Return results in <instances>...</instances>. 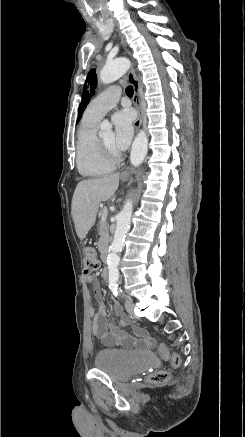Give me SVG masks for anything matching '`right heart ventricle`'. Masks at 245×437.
<instances>
[{
	"mask_svg": "<svg viewBox=\"0 0 245 437\" xmlns=\"http://www.w3.org/2000/svg\"><path fill=\"white\" fill-rule=\"evenodd\" d=\"M98 121L83 116L76 138V165L85 177L97 178L113 171L115 163L105 159L96 144Z\"/></svg>",
	"mask_w": 245,
	"mask_h": 437,
	"instance_id": "1",
	"label": "right heart ventricle"
}]
</instances>
